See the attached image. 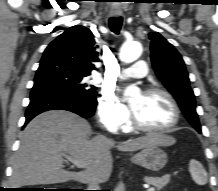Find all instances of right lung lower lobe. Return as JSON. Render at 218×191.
Segmentation results:
<instances>
[{
  "mask_svg": "<svg viewBox=\"0 0 218 191\" xmlns=\"http://www.w3.org/2000/svg\"><path fill=\"white\" fill-rule=\"evenodd\" d=\"M96 105V99L87 100L57 86H34L25 114V125L38 114L48 110H67L84 118H89L94 114Z\"/></svg>",
  "mask_w": 218,
  "mask_h": 191,
  "instance_id": "obj_1",
  "label": "right lung lower lobe"
}]
</instances>
